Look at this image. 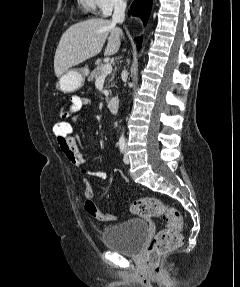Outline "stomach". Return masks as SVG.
Wrapping results in <instances>:
<instances>
[{"label": "stomach", "mask_w": 240, "mask_h": 287, "mask_svg": "<svg viewBox=\"0 0 240 287\" xmlns=\"http://www.w3.org/2000/svg\"><path fill=\"white\" fill-rule=\"evenodd\" d=\"M88 72L86 67L67 70L56 81L55 89L64 93L78 90L84 85Z\"/></svg>", "instance_id": "1"}]
</instances>
